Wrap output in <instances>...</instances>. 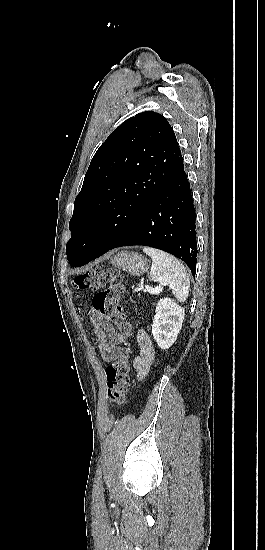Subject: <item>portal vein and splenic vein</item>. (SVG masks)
Instances as JSON below:
<instances>
[{"instance_id": "18ae733b", "label": "portal vein and splenic vein", "mask_w": 265, "mask_h": 550, "mask_svg": "<svg viewBox=\"0 0 265 550\" xmlns=\"http://www.w3.org/2000/svg\"><path fill=\"white\" fill-rule=\"evenodd\" d=\"M145 291H148L150 293H157L159 290L158 289H153L149 286H145Z\"/></svg>"}]
</instances>
